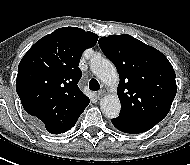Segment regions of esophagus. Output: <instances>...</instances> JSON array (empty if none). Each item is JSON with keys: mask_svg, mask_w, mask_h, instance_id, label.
<instances>
[{"mask_svg": "<svg viewBox=\"0 0 190 165\" xmlns=\"http://www.w3.org/2000/svg\"><path fill=\"white\" fill-rule=\"evenodd\" d=\"M105 95V90L104 89H101V90H99L98 92H97V97L98 98H101V97H103Z\"/></svg>", "mask_w": 190, "mask_h": 165, "instance_id": "obj_1", "label": "esophagus"}]
</instances>
